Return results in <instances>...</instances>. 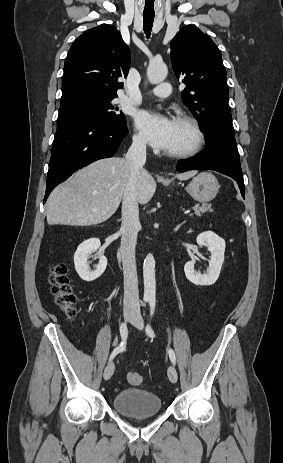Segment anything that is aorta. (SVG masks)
<instances>
[{
	"label": "aorta",
	"mask_w": 283,
	"mask_h": 463,
	"mask_svg": "<svg viewBox=\"0 0 283 463\" xmlns=\"http://www.w3.org/2000/svg\"><path fill=\"white\" fill-rule=\"evenodd\" d=\"M168 73L167 66L163 62H150L147 69V77L150 83L158 84L165 80ZM144 277V299H155V259L152 254H148L143 264Z\"/></svg>",
	"instance_id": "obj_1"
}]
</instances>
